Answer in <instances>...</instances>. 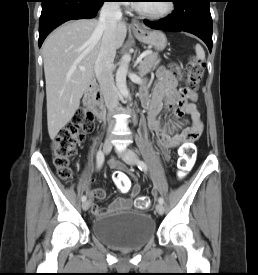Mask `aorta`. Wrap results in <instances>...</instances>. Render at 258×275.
<instances>
[{"label":"aorta","mask_w":258,"mask_h":275,"mask_svg":"<svg viewBox=\"0 0 258 275\" xmlns=\"http://www.w3.org/2000/svg\"><path fill=\"white\" fill-rule=\"evenodd\" d=\"M131 57L129 54H125L120 61L119 67L116 72V85L124 98H129V90L126 84V75L129 67Z\"/></svg>","instance_id":"obj_1"}]
</instances>
